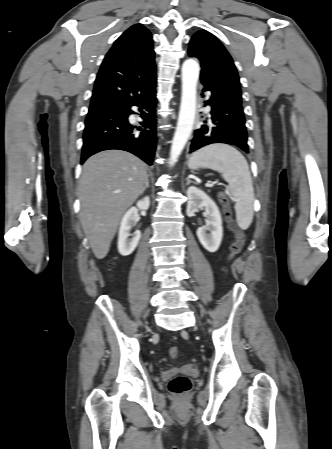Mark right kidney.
<instances>
[{
    "label": "right kidney",
    "instance_id": "ca27d5eb",
    "mask_svg": "<svg viewBox=\"0 0 332 449\" xmlns=\"http://www.w3.org/2000/svg\"><path fill=\"white\" fill-rule=\"evenodd\" d=\"M149 206L150 199L147 196L139 200L136 207H131L123 216L118 236V251L122 256L130 255L137 247L141 232L136 231L132 238H129L131 236L129 231L139 220L138 210H148Z\"/></svg>",
    "mask_w": 332,
    "mask_h": 449
}]
</instances>
